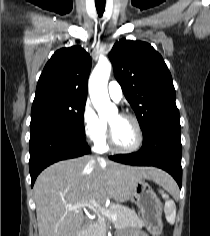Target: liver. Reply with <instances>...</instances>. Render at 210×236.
I'll return each instance as SVG.
<instances>
[{
  "instance_id": "liver-1",
  "label": "liver",
  "mask_w": 210,
  "mask_h": 236,
  "mask_svg": "<svg viewBox=\"0 0 210 236\" xmlns=\"http://www.w3.org/2000/svg\"><path fill=\"white\" fill-rule=\"evenodd\" d=\"M148 179L158 184L173 182L154 167H131L113 161L83 156L57 162L36 179L34 197L39 236H79L84 222V202L101 204L112 198L129 199L135 182Z\"/></svg>"
}]
</instances>
